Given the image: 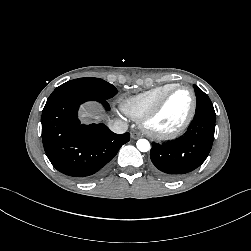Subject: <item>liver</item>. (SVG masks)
<instances>
[{"instance_id": "liver-1", "label": "liver", "mask_w": 251, "mask_h": 251, "mask_svg": "<svg viewBox=\"0 0 251 251\" xmlns=\"http://www.w3.org/2000/svg\"><path fill=\"white\" fill-rule=\"evenodd\" d=\"M79 116L84 123L99 121L102 116L99 114V106L95 103L83 105L80 109Z\"/></svg>"}]
</instances>
